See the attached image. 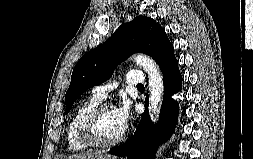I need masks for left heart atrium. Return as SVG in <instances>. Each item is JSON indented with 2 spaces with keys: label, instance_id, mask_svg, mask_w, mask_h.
<instances>
[{
  "label": "left heart atrium",
  "instance_id": "39dd6f15",
  "mask_svg": "<svg viewBox=\"0 0 253 159\" xmlns=\"http://www.w3.org/2000/svg\"><path fill=\"white\" fill-rule=\"evenodd\" d=\"M116 114L123 130H126V128L128 127L129 121L132 118V111H131L130 104L127 101H123L116 108Z\"/></svg>",
  "mask_w": 253,
  "mask_h": 159
}]
</instances>
